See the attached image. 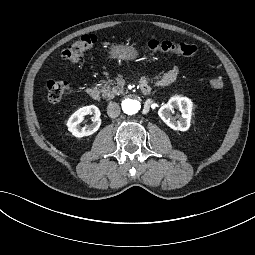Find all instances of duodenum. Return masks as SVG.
Segmentation results:
<instances>
[{
  "label": "duodenum",
  "mask_w": 255,
  "mask_h": 255,
  "mask_svg": "<svg viewBox=\"0 0 255 255\" xmlns=\"http://www.w3.org/2000/svg\"><path fill=\"white\" fill-rule=\"evenodd\" d=\"M139 87L144 94H149L151 91L150 85L144 80L140 81ZM86 93L93 100H98L100 98V91L96 87H88Z\"/></svg>",
  "instance_id": "1"
}]
</instances>
